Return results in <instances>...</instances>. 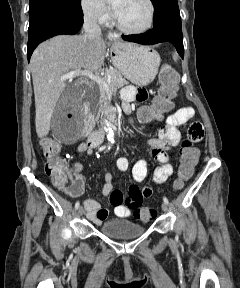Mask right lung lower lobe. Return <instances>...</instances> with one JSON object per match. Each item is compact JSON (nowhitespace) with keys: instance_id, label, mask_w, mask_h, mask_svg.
<instances>
[{"instance_id":"1","label":"right lung lower lobe","mask_w":240,"mask_h":288,"mask_svg":"<svg viewBox=\"0 0 240 288\" xmlns=\"http://www.w3.org/2000/svg\"><path fill=\"white\" fill-rule=\"evenodd\" d=\"M82 24L83 16L55 15L40 21L32 30L28 31V61L34 49L42 41L59 34H76Z\"/></svg>"}]
</instances>
